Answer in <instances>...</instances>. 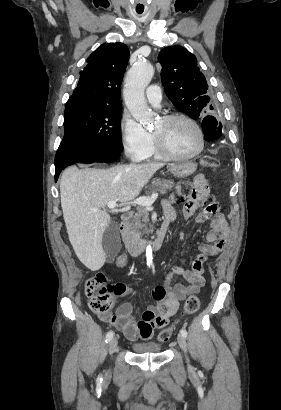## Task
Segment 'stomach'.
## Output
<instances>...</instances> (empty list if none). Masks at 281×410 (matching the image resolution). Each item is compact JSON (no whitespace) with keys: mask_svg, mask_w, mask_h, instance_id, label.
<instances>
[{"mask_svg":"<svg viewBox=\"0 0 281 410\" xmlns=\"http://www.w3.org/2000/svg\"><path fill=\"white\" fill-rule=\"evenodd\" d=\"M196 169L197 165L190 161L173 164L170 166L171 173L178 178L190 176L196 171Z\"/></svg>","mask_w":281,"mask_h":410,"instance_id":"stomach-1","label":"stomach"}]
</instances>
